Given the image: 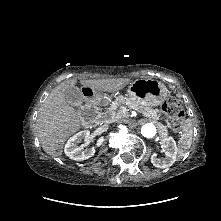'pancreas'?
<instances>
[{"mask_svg":"<svg viewBox=\"0 0 221 221\" xmlns=\"http://www.w3.org/2000/svg\"><path fill=\"white\" fill-rule=\"evenodd\" d=\"M127 105L129 108L137 110L143 114V116L153 119L154 121L162 120L161 114L158 110H155L148 106H140L132 102L128 97L118 96L106 112L102 113V117L107 119L108 122L115 119H120L127 116V112L122 110V106ZM168 127H171L168 119L165 120Z\"/></svg>","mask_w":221,"mask_h":221,"instance_id":"obj_1","label":"pancreas"}]
</instances>
